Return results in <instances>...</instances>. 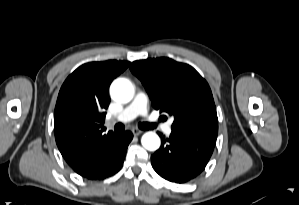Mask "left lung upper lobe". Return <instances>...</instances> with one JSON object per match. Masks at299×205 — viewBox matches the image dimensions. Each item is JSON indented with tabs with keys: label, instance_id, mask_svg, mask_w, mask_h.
Listing matches in <instances>:
<instances>
[{
	"label": "left lung upper lobe",
	"instance_id": "5c2ea615",
	"mask_svg": "<svg viewBox=\"0 0 299 205\" xmlns=\"http://www.w3.org/2000/svg\"><path fill=\"white\" fill-rule=\"evenodd\" d=\"M130 69L143 83L154 108L174 117L172 130L218 131L211 89L193 67L156 58L135 61Z\"/></svg>",
	"mask_w": 299,
	"mask_h": 205
}]
</instances>
